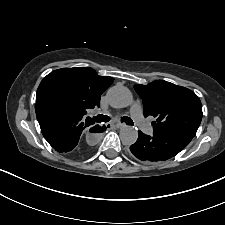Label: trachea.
<instances>
[{
	"mask_svg": "<svg viewBox=\"0 0 225 225\" xmlns=\"http://www.w3.org/2000/svg\"><path fill=\"white\" fill-rule=\"evenodd\" d=\"M109 120H110V117L105 115H97L96 117H94V121L99 123L108 122ZM121 121L125 122L127 125H134V122L131 120V118L127 116H123Z\"/></svg>",
	"mask_w": 225,
	"mask_h": 225,
	"instance_id": "3493384b",
	"label": "trachea"
}]
</instances>
